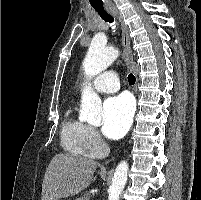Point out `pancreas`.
I'll return each instance as SVG.
<instances>
[{
  "label": "pancreas",
  "mask_w": 201,
  "mask_h": 200,
  "mask_svg": "<svg viewBox=\"0 0 201 200\" xmlns=\"http://www.w3.org/2000/svg\"><path fill=\"white\" fill-rule=\"evenodd\" d=\"M76 200H89V197L87 195H84L82 197L77 198Z\"/></svg>",
  "instance_id": "1"
}]
</instances>
